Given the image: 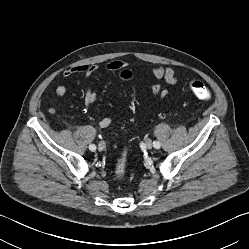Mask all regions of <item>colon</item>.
Segmentation results:
<instances>
[{"label":"colon","mask_w":249,"mask_h":249,"mask_svg":"<svg viewBox=\"0 0 249 249\" xmlns=\"http://www.w3.org/2000/svg\"><path fill=\"white\" fill-rule=\"evenodd\" d=\"M121 76L124 78H131L132 73L123 70ZM188 87L191 92L200 100H210L212 97L211 91L200 81H190Z\"/></svg>","instance_id":"5ec220e1"}]
</instances>
